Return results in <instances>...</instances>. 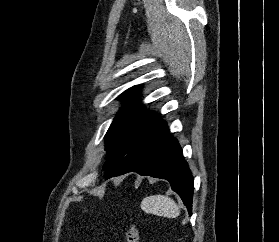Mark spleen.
Here are the masks:
<instances>
[{
  "mask_svg": "<svg viewBox=\"0 0 279 242\" xmlns=\"http://www.w3.org/2000/svg\"><path fill=\"white\" fill-rule=\"evenodd\" d=\"M141 208L147 213L168 218H176L180 215L177 203L165 195H152L144 198Z\"/></svg>",
  "mask_w": 279,
  "mask_h": 242,
  "instance_id": "spleen-1",
  "label": "spleen"
}]
</instances>
